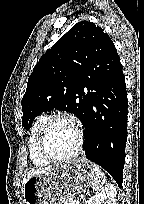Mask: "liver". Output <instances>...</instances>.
Wrapping results in <instances>:
<instances>
[{
    "mask_svg": "<svg viewBox=\"0 0 144 204\" xmlns=\"http://www.w3.org/2000/svg\"><path fill=\"white\" fill-rule=\"evenodd\" d=\"M52 169H54V167L37 168V169H32L28 171L27 174L23 178L22 185H24L30 177L35 176V175L45 174Z\"/></svg>",
    "mask_w": 144,
    "mask_h": 204,
    "instance_id": "6515ba94",
    "label": "liver"
}]
</instances>
